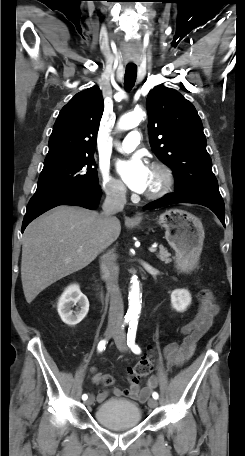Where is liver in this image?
<instances>
[{
    "instance_id": "1",
    "label": "liver",
    "mask_w": 245,
    "mask_h": 456,
    "mask_svg": "<svg viewBox=\"0 0 245 456\" xmlns=\"http://www.w3.org/2000/svg\"><path fill=\"white\" fill-rule=\"evenodd\" d=\"M121 232L116 218L105 226L101 214L58 206L24 231L21 280L27 303L56 281L88 266Z\"/></svg>"
}]
</instances>
